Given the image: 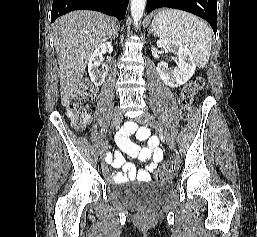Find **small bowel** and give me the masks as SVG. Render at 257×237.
Listing matches in <instances>:
<instances>
[{"mask_svg": "<svg viewBox=\"0 0 257 237\" xmlns=\"http://www.w3.org/2000/svg\"><path fill=\"white\" fill-rule=\"evenodd\" d=\"M132 133H135L137 140L147 141V146L142 147L133 143L129 138ZM116 142L120 149L108 155L107 159L114 167L121 168V171L113 173L114 182L123 183L128 179L135 178L143 182L149 181L151 172L156 169L158 163L162 160V151L158 147V139L151 136L147 129L139 128L136 130L134 123H127L122 129V133L116 136ZM125 154L135 157L141 162H148V164L141 169H137L131 163L126 162Z\"/></svg>", "mask_w": 257, "mask_h": 237, "instance_id": "c3829d8e", "label": "small bowel"}]
</instances>
